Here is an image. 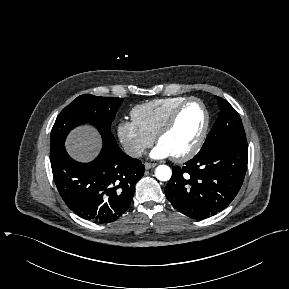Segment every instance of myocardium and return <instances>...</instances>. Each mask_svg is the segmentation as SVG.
<instances>
[{"mask_svg":"<svg viewBox=\"0 0 289 289\" xmlns=\"http://www.w3.org/2000/svg\"><path fill=\"white\" fill-rule=\"evenodd\" d=\"M193 102L198 103L201 106L204 112V116H205L204 124L200 132V135L198 139L196 140V142L194 143V145L186 152L179 154V155L172 156L173 160L177 162H184L193 158L200 151L202 145L205 142V139L207 137L209 127H210V113L205 103L197 97H188L173 110V112L170 114L168 119L161 126V128L159 129V131L157 132L155 136L156 142L159 144L161 138L172 130L182 110L188 104L193 103Z\"/></svg>","mask_w":289,"mask_h":289,"instance_id":"obj_1","label":"myocardium"}]
</instances>
